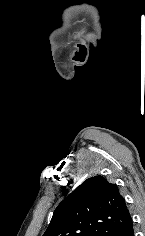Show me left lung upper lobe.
<instances>
[{"label":"left lung upper lobe","mask_w":145,"mask_h":236,"mask_svg":"<svg viewBox=\"0 0 145 236\" xmlns=\"http://www.w3.org/2000/svg\"><path fill=\"white\" fill-rule=\"evenodd\" d=\"M130 219L117 185L95 176L57 206L43 236H116Z\"/></svg>","instance_id":"5c2ea615"}]
</instances>
